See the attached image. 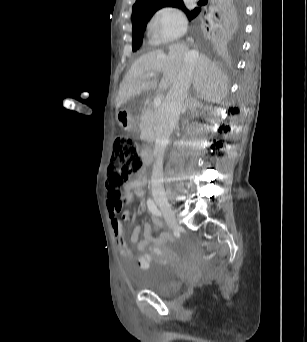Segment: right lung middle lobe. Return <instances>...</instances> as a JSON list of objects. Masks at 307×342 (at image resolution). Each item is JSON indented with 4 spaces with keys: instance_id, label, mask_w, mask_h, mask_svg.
I'll use <instances>...</instances> for the list:
<instances>
[{
    "instance_id": "1",
    "label": "right lung middle lobe",
    "mask_w": 307,
    "mask_h": 342,
    "mask_svg": "<svg viewBox=\"0 0 307 342\" xmlns=\"http://www.w3.org/2000/svg\"><path fill=\"white\" fill-rule=\"evenodd\" d=\"M142 38H143V33H139V34L133 36V42H132L133 51H136L139 49V47L142 43Z\"/></svg>"
}]
</instances>
